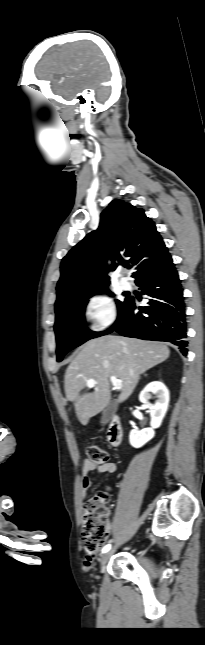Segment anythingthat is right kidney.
Masks as SVG:
<instances>
[{
	"instance_id": "1",
	"label": "right kidney",
	"mask_w": 205,
	"mask_h": 645,
	"mask_svg": "<svg viewBox=\"0 0 205 645\" xmlns=\"http://www.w3.org/2000/svg\"><path fill=\"white\" fill-rule=\"evenodd\" d=\"M152 394L156 395L157 401L151 404L149 400ZM139 400L148 409L151 417V427L138 430H131L129 434L130 444L134 448H139L154 437V429L160 427L162 420L167 412L169 404V391L167 387L159 381L149 383L140 393Z\"/></svg>"
}]
</instances>
